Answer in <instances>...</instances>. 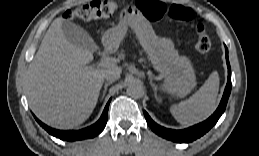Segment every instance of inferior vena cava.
<instances>
[{
	"mask_svg": "<svg viewBox=\"0 0 259 156\" xmlns=\"http://www.w3.org/2000/svg\"><path fill=\"white\" fill-rule=\"evenodd\" d=\"M120 73L118 70H109L105 73L104 78L109 82H113L120 78Z\"/></svg>",
	"mask_w": 259,
	"mask_h": 156,
	"instance_id": "1",
	"label": "inferior vena cava"
}]
</instances>
